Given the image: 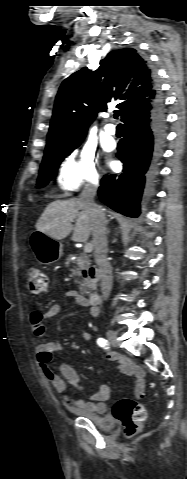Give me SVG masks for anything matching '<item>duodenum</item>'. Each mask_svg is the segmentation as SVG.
Instances as JSON below:
<instances>
[{
  "instance_id": "1",
  "label": "duodenum",
  "mask_w": 187,
  "mask_h": 479,
  "mask_svg": "<svg viewBox=\"0 0 187 479\" xmlns=\"http://www.w3.org/2000/svg\"><path fill=\"white\" fill-rule=\"evenodd\" d=\"M94 276H95L94 273H92V274L90 275V277H94ZM99 298H100V297H99V293H98V291L95 290V289H94V290H91V291L88 293V300H89V303H90L91 305L97 304L98 301H99Z\"/></svg>"
}]
</instances>
